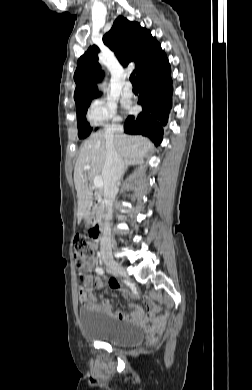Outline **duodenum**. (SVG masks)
I'll list each match as a JSON object with an SVG mask.
<instances>
[{"label":"duodenum","mask_w":252,"mask_h":390,"mask_svg":"<svg viewBox=\"0 0 252 390\" xmlns=\"http://www.w3.org/2000/svg\"><path fill=\"white\" fill-rule=\"evenodd\" d=\"M102 202V196L96 195L93 198L92 206L87 210V215H92L93 211L97 208L98 204ZM104 227V222L102 220H98L95 222L93 229L96 231V237L99 238Z\"/></svg>","instance_id":"410a0bca"}]
</instances>
